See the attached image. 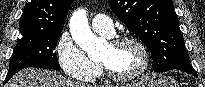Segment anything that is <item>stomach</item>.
Returning <instances> with one entry per match:
<instances>
[{"label":"stomach","instance_id":"1","mask_svg":"<svg viewBox=\"0 0 205 87\" xmlns=\"http://www.w3.org/2000/svg\"><path fill=\"white\" fill-rule=\"evenodd\" d=\"M126 87H177V82L165 76H145Z\"/></svg>","mask_w":205,"mask_h":87}]
</instances>
